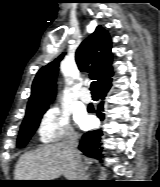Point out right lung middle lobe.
Wrapping results in <instances>:
<instances>
[{"label": "right lung middle lobe", "mask_w": 160, "mask_h": 187, "mask_svg": "<svg viewBox=\"0 0 160 187\" xmlns=\"http://www.w3.org/2000/svg\"><path fill=\"white\" fill-rule=\"evenodd\" d=\"M46 110L47 109L26 113L18 135L17 146L19 148H22L27 144L35 130L38 128L42 115Z\"/></svg>", "instance_id": "obj_1"}]
</instances>
